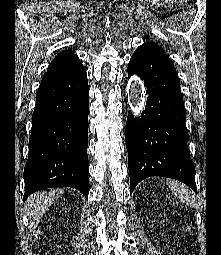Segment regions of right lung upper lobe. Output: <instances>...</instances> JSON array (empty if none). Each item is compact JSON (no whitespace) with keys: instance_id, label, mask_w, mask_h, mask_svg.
I'll return each instance as SVG.
<instances>
[{"instance_id":"1","label":"right lung upper lobe","mask_w":221,"mask_h":255,"mask_svg":"<svg viewBox=\"0 0 221 255\" xmlns=\"http://www.w3.org/2000/svg\"><path fill=\"white\" fill-rule=\"evenodd\" d=\"M74 57L76 56L74 55V52L72 50L68 49V50L62 51L54 58V60L52 61V63L50 64L48 68V71L57 66L62 65L63 63L69 61L70 59Z\"/></svg>"}]
</instances>
